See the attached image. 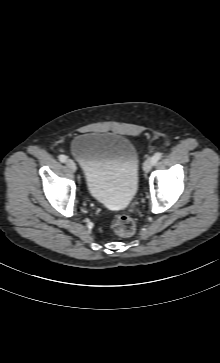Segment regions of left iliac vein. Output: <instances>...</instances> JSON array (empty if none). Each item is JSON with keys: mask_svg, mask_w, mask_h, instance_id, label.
<instances>
[{"mask_svg": "<svg viewBox=\"0 0 220 363\" xmlns=\"http://www.w3.org/2000/svg\"><path fill=\"white\" fill-rule=\"evenodd\" d=\"M152 168V161L151 159H146L144 164H143V170L145 173H148Z\"/></svg>", "mask_w": 220, "mask_h": 363, "instance_id": "4c4485c4", "label": "left iliac vein"}]
</instances>
